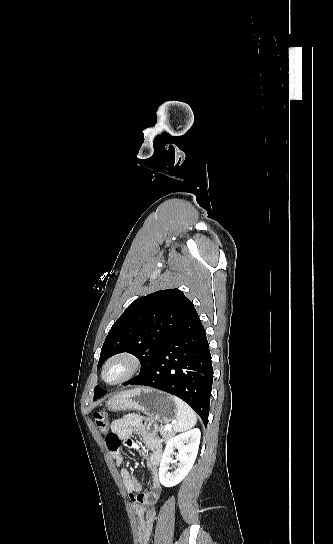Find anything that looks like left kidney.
<instances>
[{
  "instance_id": "left-kidney-1",
  "label": "left kidney",
  "mask_w": 333,
  "mask_h": 544,
  "mask_svg": "<svg viewBox=\"0 0 333 544\" xmlns=\"http://www.w3.org/2000/svg\"><path fill=\"white\" fill-rule=\"evenodd\" d=\"M200 436V430L195 428L168 440L159 467V480L163 486L173 487L189 473L197 457ZM175 449H178L176 455V459L179 461L178 468L169 472Z\"/></svg>"
}]
</instances>
